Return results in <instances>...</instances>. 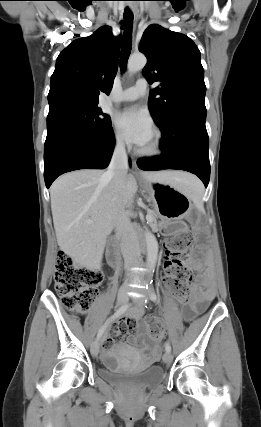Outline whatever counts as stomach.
<instances>
[{
    "mask_svg": "<svg viewBox=\"0 0 261 427\" xmlns=\"http://www.w3.org/2000/svg\"><path fill=\"white\" fill-rule=\"evenodd\" d=\"M142 187L148 192L154 208L162 220L181 219L192 208L188 194L175 186L143 181Z\"/></svg>",
    "mask_w": 261,
    "mask_h": 427,
    "instance_id": "obj_1",
    "label": "stomach"
}]
</instances>
